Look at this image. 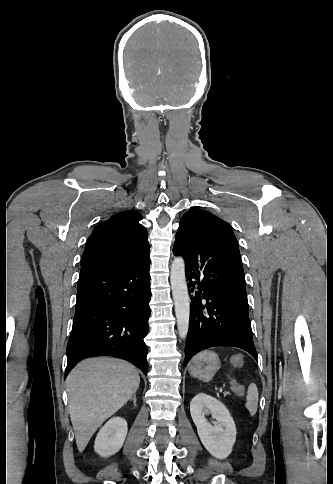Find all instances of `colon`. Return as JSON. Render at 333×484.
Wrapping results in <instances>:
<instances>
[{"label": "colon", "instance_id": "5ec220e1", "mask_svg": "<svg viewBox=\"0 0 333 484\" xmlns=\"http://www.w3.org/2000/svg\"><path fill=\"white\" fill-rule=\"evenodd\" d=\"M242 363H243V359L240 356L233 357L231 361V364L233 367H240ZM231 388L233 392L239 396H242L245 393V387L235 379H232L231 381Z\"/></svg>", "mask_w": 333, "mask_h": 484}]
</instances>
